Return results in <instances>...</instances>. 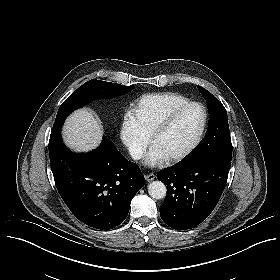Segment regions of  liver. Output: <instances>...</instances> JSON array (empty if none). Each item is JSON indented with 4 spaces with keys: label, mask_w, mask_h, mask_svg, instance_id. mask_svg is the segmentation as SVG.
I'll list each match as a JSON object with an SVG mask.
<instances>
[{
    "label": "liver",
    "mask_w": 280,
    "mask_h": 280,
    "mask_svg": "<svg viewBox=\"0 0 280 280\" xmlns=\"http://www.w3.org/2000/svg\"><path fill=\"white\" fill-rule=\"evenodd\" d=\"M103 129L98 119L87 108L75 110L62 127L65 145L74 152H89L102 141Z\"/></svg>",
    "instance_id": "1"
}]
</instances>
